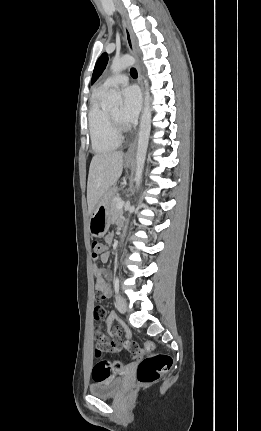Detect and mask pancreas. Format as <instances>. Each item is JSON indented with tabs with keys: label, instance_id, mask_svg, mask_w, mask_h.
Masks as SVG:
<instances>
[{
	"label": "pancreas",
	"instance_id": "1",
	"mask_svg": "<svg viewBox=\"0 0 261 431\" xmlns=\"http://www.w3.org/2000/svg\"><path fill=\"white\" fill-rule=\"evenodd\" d=\"M121 201L118 195L114 196L110 202V214L112 218H116L118 215L122 214V209L117 208V203Z\"/></svg>",
	"mask_w": 261,
	"mask_h": 431
}]
</instances>
